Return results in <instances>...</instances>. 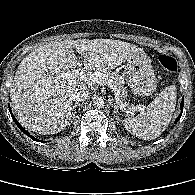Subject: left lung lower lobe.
I'll return each mask as SVG.
<instances>
[{"mask_svg":"<svg viewBox=\"0 0 195 195\" xmlns=\"http://www.w3.org/2000/svg\"><path fill=\"white\" fill-rule=\"evenodd\" d=\"M184 100V98L182 99V101H181V113H180V115L178 116V118L176 119V123L179 121V119L181 118V115H182V111H183V101Z\"/></svg>","mask_w":195,"mask_h":195,"instance_id":"1","label":"left lung lower lobe"}]
</instances>
